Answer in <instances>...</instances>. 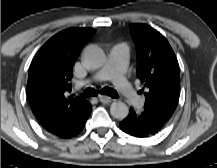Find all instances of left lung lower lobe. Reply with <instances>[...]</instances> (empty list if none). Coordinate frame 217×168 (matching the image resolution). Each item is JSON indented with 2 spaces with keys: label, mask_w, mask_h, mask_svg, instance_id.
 <instances>
[{
  "label": "left lung lower lobe",
  "mask_w": 217,
  "mask_h": 168,
  "mask_svg": "<svg viewBox=\"0 0 217 168\" xmlns=\"http://www.w3.org/2000/svg\"><path fill=\"white\" fill-rule=\"evenodd\" d=\"M169 120L152 112L129 111L128 116L119 123L120 129L134 137H148L165 127Z\"/></svg>",
  "instance_id": "obj_1"
}]
</instances>
